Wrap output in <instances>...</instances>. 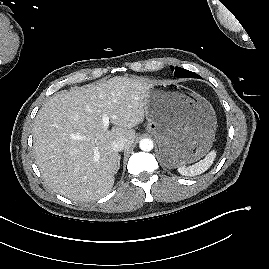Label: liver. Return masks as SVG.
<instances>
[{
    "mask_svg": "<svg viewBox=\"0 0 269 269\" xmlns=\"http://www.w3.org/2000/svg\"><path fill=\"white\" fill-rule=\"evenodd\" d=\"M152 85L142 77L116 76L58 92L40 108L33 127L35 159L54 192L80 202L110 192L120 160L111 145L122 140L126 148L132 146L133 127L144 121ZM103 115L114 125L111 130L103 128Z\"/></svg>",
    "mask_w": 269,
    "mask_h": 269,
    "instance_id": "1",
    "label": "liver"
}]
</instances>
